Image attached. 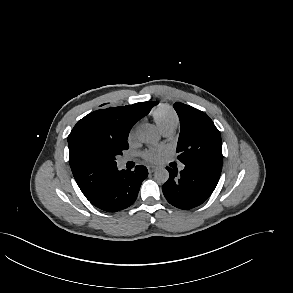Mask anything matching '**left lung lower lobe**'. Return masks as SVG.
Instances as JSON below:
<instances>
[{"label": "left lung lower lobe", "instance_id": "left-lung-lower-lobe-1", "mask_svg": "<svg viewBox=\"0 0 293 293\" xmlns=\"http://www.w3.org/2000/svg\"><path fill=\"white\" fill-rule=\"evenodd\" d=\"M185 168L166 167L169 179L162 187L167 201L180 209H191L207 200L215 189L221 169L208 163H184Z\"/></svg>", "mask_w": 293, "mask_h": 293}]
</instances>
